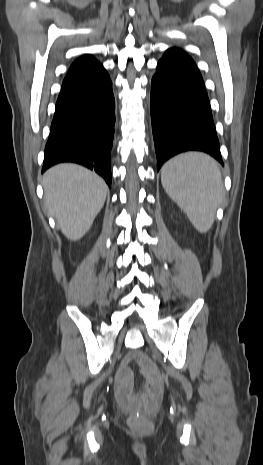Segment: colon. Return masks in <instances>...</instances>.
<instances>
[{
    "instance_id": "colon-1",
    "label": "colon",
    "mask_w": 263,
    "mask_h": 465,
    "mask_svg": "<svg viewBox=\"0 0 263 465\" xmlns=\"http://www.w3.org/2000/svg\"><path fill=\"white\" fill-rule=\"evenodd\" d=\"M160 384L157 381H148L145 386V392L141 394L134 402L128 404L135 411L130 422L131 425L139 430H148L151 427L148 415L156 410L157 397L160 393Z\"/></svg>"
}]
</instances>
